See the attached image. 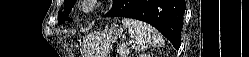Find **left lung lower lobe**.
Masks as SVG:
<instances>
[{
    "instance_id": "left-lung-lower-lobe-1",
    "label": "left lung lower lobe",
    "mask_w": 249,
    "mask_h": 57,
    "mask_svg": "<svg viewBox=\"0 0 249 57\" xmlns=\"http://www.w3.org/2000/svg\"><path fill=\"white\" fill-rule=\"evenodd\" d=\"M185 0H115L104 17H128L145 21L158 29L178 49Z\"/></svg>"
}]
</instances>
